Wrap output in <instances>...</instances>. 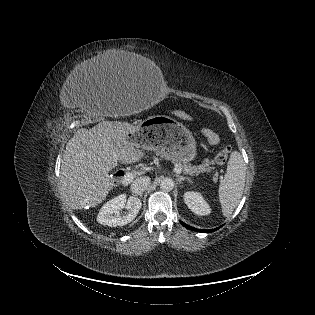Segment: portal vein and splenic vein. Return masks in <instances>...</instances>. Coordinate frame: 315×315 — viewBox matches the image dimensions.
<instances>
[{
	"instance_id": "portal-vein-and-splenic-vein-1",
	"label": "portal vein and splenic vein",
	"mask_w": 315,
	"mask_h": 315,
	"mask_svg": "<svg viewBox=\"0 0 315 315\" xmlns=\"http://www.w3.org/2000/svg\"><path fill=\"white\" fill-rule=\"evenodd\" d=\"M174 172L177 173V174H180L181 173V169L178 168V167H175L174 168ZM134 178V173H131V172H128L124 175L123 179H122V182L123 184H128L132 181V179Z\"/></svg>"
}]
</instances>
